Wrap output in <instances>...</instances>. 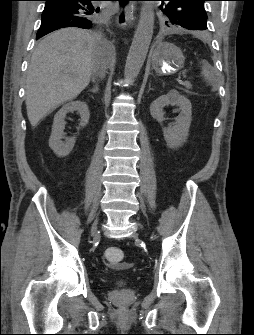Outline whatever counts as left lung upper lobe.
<instances>
[{
	"mask_svg": "<svg viewBox=\"0 0 254 335\" xmlns=\"http://www.w3.org/2000/svg\"><path fill=\"white\" fill-rule=\"evenodd\" d=\"M167 1H169L167 5L160 7L168 18L166 25L180 26L189 30L207 29V14L204 9V2L207 0Z\"/></svg>",
	"mask_w": 254,
	"mask_h": 335,
	"instance_id": "1",
	"label": "left lung upper lobe"
}]
</instances>
